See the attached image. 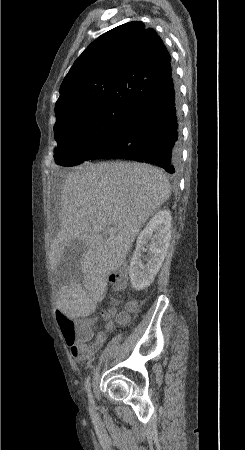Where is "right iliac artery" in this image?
Listing matches in <instances>:
<instances>
[{
  "label": "right iliac artery",
  "mask_w": 245,
  "mask_h": 450,
  "mask_svg": "<svg viewBox=\"0 0 245 450\" xmlns=\"http://www.w3.org/2000/svg\"><path fill=\"white\" fill-rule=\"evenodd\" d=\"M85 386H86V391L88 393L89 403H90V405L92 407H94V400H93V396H92V393H91V387H90V376L88 377V379H87V381L85 383Z\"/></svg>",
  "instance_id": "right-iliac-artery-1"
}]
</instances>
